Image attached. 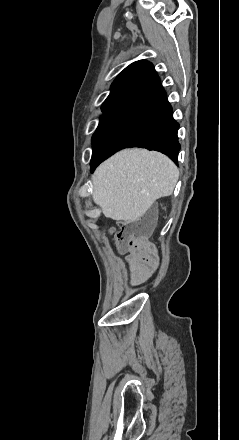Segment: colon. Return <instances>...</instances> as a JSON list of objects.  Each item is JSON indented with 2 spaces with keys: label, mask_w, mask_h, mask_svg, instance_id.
<instances>
[{
  "label": "colon",
  "mask_w": 239,
  "mask_h": 440,
  "mask_svg": "<svg viewBox=\"0 0 239 440\" xmlns=\"http://www.w3.org/2000/svg\"><path fill=\"white\" fill-rule=\"evenodd\" d=\"M144 231L135 223H126L116 235V245L120 250L139 247L144 244Z\"/></svg>",
  "instance_id": "obj_1"
}]
</instances>
